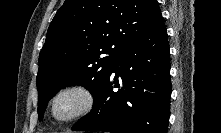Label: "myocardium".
<instances>
[{
  "label": "myocardium",
  "mask_w": 221,
  "mask_h": 133,
  "mask_svg": "<svg viewBox=\"0 0 221 133\" xmlns=\"http://www.w3.org/2000/svg\"><path fill=\"white\" fill-rule=\"evenodd\" d=\"M62 101H70L71 108L57 113V106ZM95 104V95L90 87L82 83H71L59 88L50 98L47 113L57 123H68L91 112Z\"/></svg>",
  "instance_id": "obj_1"
}]
</instances>
